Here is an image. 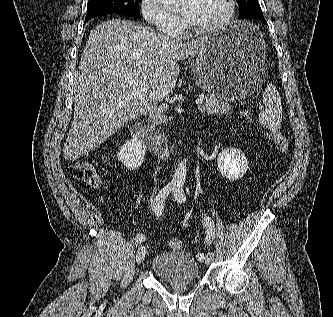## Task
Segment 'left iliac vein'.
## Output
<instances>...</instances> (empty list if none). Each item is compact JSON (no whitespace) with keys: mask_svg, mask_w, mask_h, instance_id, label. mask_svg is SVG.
<instances>
[{"mask_svg":"<svg viewBox=\"0 0 333 317\" xmlns=\"http://www.w3.org/2000/svg\"><path fill=\"white\" fill-rule=\"evenodd\" d=\"M213 259H214V255H213L212 252H210V253H208V254L206 255V257H205V262H206L207 264H210V263L213 261Z\"/></svg>","mask_w":333,"mask_h":317,"instance_id":"4c4485c4","label":"left iliac vein"}]
</instances>
